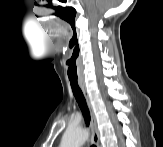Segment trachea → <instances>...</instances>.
I'll return each mask as SVG.
<instances>
[{
  "mask_svg": "<svg viewBox=\"0 0 163 147\" xmlns=\"http://www.w3.org/2000/svg\"><path fill=\"white\" fill-rule=\"evenodd\" d=\"M70 85H71V88H72V92H73V95L82 111V114L84 116V119H85V122H86V125L89 126L90 124V113H89V109H88V106H87V103H86V100L84 98V95H83V92L78 84V81L75 80H70ZM92 147H96L95 145H92Z\"/></svg>",
  "mask_w": 163,
  "mask_h": 147,
  "instance_id": "1",
  "label": "trachea"
}]
</instances>
